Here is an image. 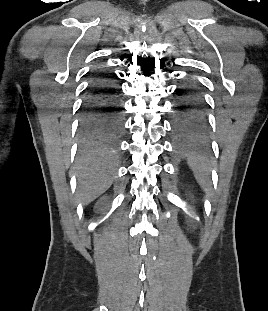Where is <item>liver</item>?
Wrapping results in <instances>:
<instances>
[{
    "mask_svg": "<svg viewBox=\"0 0 268 311\" xmlns=\"http://www.w3.org/2000/svg\"><path fill=\"white\" fill-rule=\"evenodd\" d=\"M76 163L79 192L88 204L112 184L116 158L108 150H88L78 157Z\"/></svg>",
    "mask_w": 268,
    "mask_h": 311,
    "instance_id": "6515ba94",
    "label": "liver"
}]
</instances>
